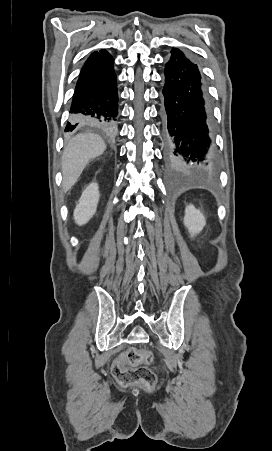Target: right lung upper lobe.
I'll return each instance as SVG.
<instances>
[{"instance_id": "obj_1", "label": "right lung upper lobe", "mask_w": 272, "mask_h": 451, "mask_svg": "<svg viewBox=\"0 0 272 451\" xmlns=\"http://www.w3.org/2000/svg\"><path fill=\"white\" fill-rule=\"evenodd\" d=\"M106 50H100L99 52H97V51H95L94 53H92V54H96V53H101V52H105Z\"/></svg>"}]
</instances>
